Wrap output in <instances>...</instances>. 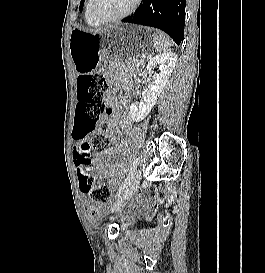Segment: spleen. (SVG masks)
Masks as SVG:
<instances>
[{
  "instance_id": "1",
  "label": "spleen",
  "mask_w": 265,
  "mask_h": 273,
  "mask_svg": "<svg viewBox=\"0 0 265 273\" xmlns=\"http://www.w3.org/2000/svg\"><path fill=\"white\" fill-rule=\"evenodd\" d=\"M154 41H155L157 52L161 53V52H167L170 50L171 43L162 32L156 31L154 33Z\"/></svg>"
}]
</instances>
